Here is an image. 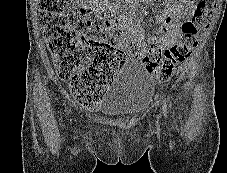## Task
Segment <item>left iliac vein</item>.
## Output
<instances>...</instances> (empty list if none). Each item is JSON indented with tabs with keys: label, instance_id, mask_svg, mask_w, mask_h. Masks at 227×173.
Returning a JSON list of instances; mask_svg holds the SVG:
<instances>
[{
	"label": "left iliac vein",
	"instance_id": "4c4485c4",
	"mask_svg": "<svg viewBox=\"0 0 227 173\" xmlns=\"http://www.w3.org/2000/svg\"><path fill=\"white\" fill-rule=\"evenodd\" d=\"M161 117V115H158V119Z\"/></svg>",
	"mask_w": 227,
	"mask_h": 173
}]
</instances>
